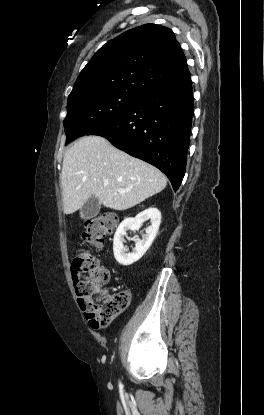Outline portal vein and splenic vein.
Listing matches in <instances>:
<instances>
[{
    "mask_svg": "<svg viewBox=\"0 0 264 415\" xmlns=\"http://www.w3.org/2000/svg\"><path fill=\"white\" fill-rule=\"evenodd\" d=\"M104 184L105 185H107L108 184V181H104ZM120 193H124L125 192V190H122V189H120V190H118Z\"/></svg>",
    "mask_w": 264,
    "mask_h": 415,
    "instance_id": "obj_1",
    "label": "portal vein and splenic vein"
}]
</instances>
